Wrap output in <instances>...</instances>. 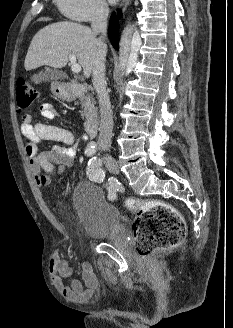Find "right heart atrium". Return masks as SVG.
Returning a JSON list of instances; mask_svg holds the SVG:
<instances>
[{"label":"right heart atrium","instance_id":"1","mask_svg":"<svg viewBox=\"0 0 233 328\" xmlns=\"http://www.w3.org/2000/svg\"><path fill=\"white\" fill-rule=\"evenodd\" d=\"M56 3L67 18L79 22L102 18L108 12L105 0H56Z\"/></svg>","mask_w":233,"mask_h":328}]
</instances>
